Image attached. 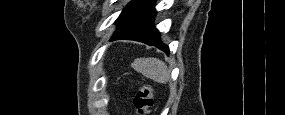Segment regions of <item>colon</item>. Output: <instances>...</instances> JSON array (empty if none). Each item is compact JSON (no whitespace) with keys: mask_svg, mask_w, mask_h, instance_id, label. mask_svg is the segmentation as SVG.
Returning a JSON list of instances; mask_svg holds the SVG:
<instances>
[{"mask_svg":"<svg viewBox=\"0 0 285 115\" xmlns=\"http://www.w3.org/2000/svg\"><path fill=\"white\" fill-rule=\"evenodd\" d=\"M134 105L139 114H150L153 106L152 89L149 84H143L136 93Z\"/></svg>","mask_w":285,"mask_h":115,"instance_id":"obj_1","label":"colon"}]
</instances>
